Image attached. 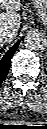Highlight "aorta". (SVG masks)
Instances as JSON below:
<instances>
[{
    "instance_id": "1",
    "label": "aorta",
    "mask_w": 47,
    "mask_h": 129,
    "mask_svg": "<svg viewBox=\"0 0 47 129\" xmlns=\"http://www.w3.org/2000/svg\"><path fill=\"white\" fill-rule=\"evenodd\" d=\"M46 38L43 34L37 31H31L24 37V46L32 51H38L45 47Z\"/></svg>"
}]
</instances>
